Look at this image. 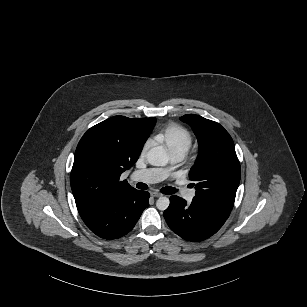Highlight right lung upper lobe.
<instances>
[{"label":"right lung upper lobe","mask_w":307,"mask_h":307,"mask_svg":"<svg viewBox=\"0 0 307 307\" xmlns=\"http://www.w3.org/2000/svg\"><path fill=\"white\" fill-rule=\"evenodd\" d=\"M156 119L111 117L90 128L75 152L70 175L79 213L129 190L121 174L138 159Z\"/></svg>","instance_id":"obj_1"}]
</instances>
